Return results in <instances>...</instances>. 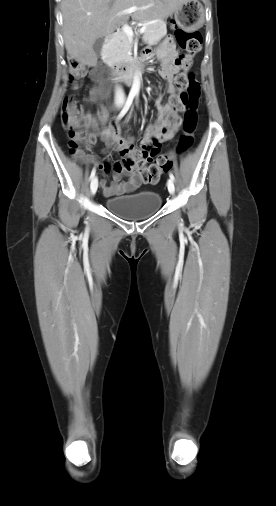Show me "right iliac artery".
<instances>
[{
    "instance_id": "right-iliac-artery-1",
    "label": "right iliac artery",
    "mask_w": 276,
    "mask_h": 506,
    "mask_svg": "<svg viewBox=\"0 0 276 506\" xmlns=\"http://www.w3.org/2000/svg\"><path fill=\"white\" fill-rule=\"evenodd\" d=\"M134 96H135L134 94H129L123 109L121 110V112L119 113V115L117 117L118 120H120L127 113V111L129 110V108L133 102ZM95 173H96V170L93 169L91 172V175H90V180L94 179Z\"/></svg>"
}]
</instances>
